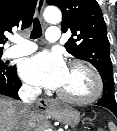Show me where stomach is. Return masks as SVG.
I'll use <instances>...</instances> for the list:
<instances>
[{
  "label": "stomach",
  "mask_w": 117,
  "mask_h": 131,
  "mask_svg": "<svg viewBox=\"0 0 117 131\" xmlns=\"http://www.w3.org/2000/svg\"><path fill=\"white\" fill-rule=\"evenodd\" d=\"M46 114L62 124L69 125L71 127L77 126L80 122L79 112L69 106L58 105Z\"/></svg>",
  "instance_id": "obj_1"
}]
</instances>
